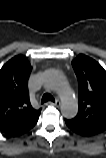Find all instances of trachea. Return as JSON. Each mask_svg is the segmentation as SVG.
<instances>
[{"label": "trachea", "instance_id": "1", "mask_svg": "<svg viewBox=\"0 0 106 158\" xmlns=\"http://www.w3.org/2000/svg\"><path fill=\"white\" fill-rule=\"evenodd\" d=\"M47 101L55 102V99H54V97H53L51 94L45 93V94L43 95L42 99H41V103L43 104V103H45V102H47Z\"/></svg>", "mask_w": 106, "mask_h": 158}]
</instances>
